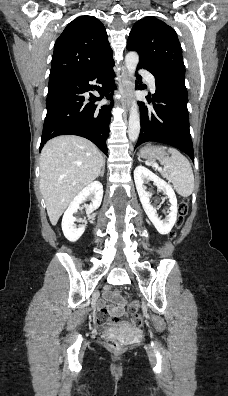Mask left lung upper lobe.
<instances>
[{
	"mask_svg": "<svg viewBox=\"0 0 228 396\" xmlns=\"http://www.w3.org/2000/svg\"><path fill=\"white\" fill-rule=\"evenodd\" d=\"M127 49L139 53L138 67L154 76L185 79L182 49L173 28L155 17L137 21L128 37Z\"/></svg>",
	"mask_w": 228,
	"mask_h": 396,
	"instance_id": "1",
	"label": "left lung upper lobe"
}]
</instances>
